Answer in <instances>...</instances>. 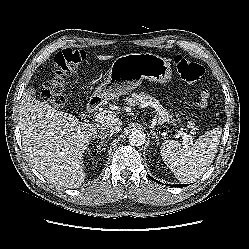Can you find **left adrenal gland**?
I'll list each match as a JSON object with an SVG mask.
<instances>
[{"instance_id":"1","label":"left adrenal gland","mask_w":249,"mask_h":249,"mask_svg":"<svg viewBox=\"0 0 249 249\" xmlns=\"http://www.w3.org/2000/svg\"><path fill=\"white\" fill-rule=\"evenodd\" d=\"M154 136L156 138V141H157V145H159V138H158V135L156 133H154Z\"/></svg>"}]
</instances>
